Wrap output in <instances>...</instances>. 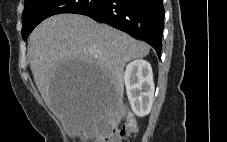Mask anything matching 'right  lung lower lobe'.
Returning a JSON list of instances; mask_svg holds the SVG:
<instances>
[{"label": "right lung lower lobe", "mask_w": 227, "mask_h": 142, "mask_svg": "<svg viewBox=\"0 0 227 142\" xmlns=\"http://www.w3.org/2000/svg\"><path fill=\"white\" fill-rule=\"evenodd\" d=\"M149 43L160 58L164 7L162 0H105L79 12Z\"/></svg>", "instance_id": "obj_1"}]
</instances>
